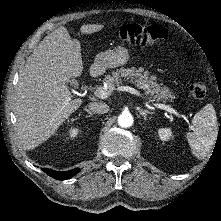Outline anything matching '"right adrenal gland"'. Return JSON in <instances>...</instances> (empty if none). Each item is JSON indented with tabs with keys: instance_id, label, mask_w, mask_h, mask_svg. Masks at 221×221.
I'll return each mask as SVG.
<instances>
[{
	"instance_id": "2a0ac1e0",
	"label": "right adrenal gland",
	"mask_w": 221,
	"mask_h": 221,
	"mask_svg": "<svg viewBox=\"0 0 221 221\" xmlns=\"http://www.w3.org/2000/svg\"><path fill=\"white\" fill-rule=\"evenodd\" d=\"M84 110H85L86 112H88V114H89L90 116H93V113H92L88 108H84Z\"/></svg>"
}]
</instances>
